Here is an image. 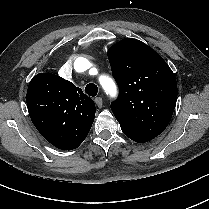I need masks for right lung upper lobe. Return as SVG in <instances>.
I'll use <instances>...</instances> for the list:
<instances>
[{"label": "right lung upper lobe", "instance_id": "obj_1", "mask_svg": "<svg viewBox=\"0 0 209 209\" xmlns=\"http://www.w3.org/2000/svg\"><path fill=\"white\" fill-rule=\"evenodd\" d=\"M26 103L37 130L63 150L77 148L88 135L95 118L94 101L81 88L50 73L33 77Z\"/></svg>", "mask_w": 209, "mask_h": 209}]
</instances>
